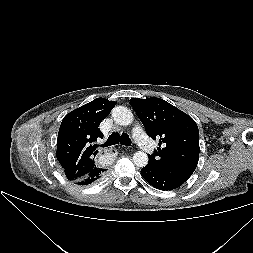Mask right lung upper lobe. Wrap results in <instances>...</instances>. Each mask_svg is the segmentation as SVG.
Segmentation results:
<instances>
[{
    "instance_id": "right-lung-upper-lobe-1",
    "label": "right lung upper lobe",
    "mask_w": 253,
    "mask_h": 253,
    "mask_svg": "<svg viewBox=\"0 0 253 253\" xmlns=\"http://www.w3.org/2000/svg\"><path fill=\"white\" fill-rule=\"evenodd\" d=\"M115 105L114 101L96 98L63 118L56 156L70 181L81 180L98 168L94 160L98 150L94 143L103 137L98 127Z\"/></svg>"
}]
</instances>
